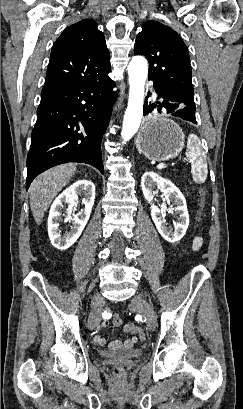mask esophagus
I'll list each match as a JSON object with an SVG mask.
<instances>
[{
  "instance_id": "34e87169",
  "label": "esophagus",
  "mask_w": 243,
  "mask_h": 409,
  "mask_svg": "<svg viewBox=\"0 0 243 409\" xmlns=\"http://www.w3.org/2000/svg\"><path fill=\"white\" fill-rule=\"evenodd\" d=\"M119 108H121V102H119L117 107H116V109H119Z\"/></svg>"
}]
</instances>
